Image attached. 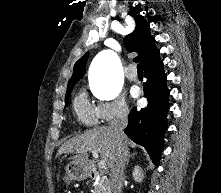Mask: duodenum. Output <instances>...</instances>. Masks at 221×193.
Instances as JSON below:
<instances>
[{
  "instance_id": "duodenum-1",
  "label": "duodenum",
  "mask_w": 221,
  "mask_h": 193,
  "mask_svg": "<svg viewBox=\"0 0 221 193\" xmlns=\"http://www.w3.org/2000/svg\"><path fill=\"white\" fill-rule=\"evenodd\" d=\"M86 171H87V176L89 178L99 179L101 181L106 193H111L109 189V180L107 176L103 174L95 164L93 163L87 164Z\"/></svg>"
}]
</instances>
